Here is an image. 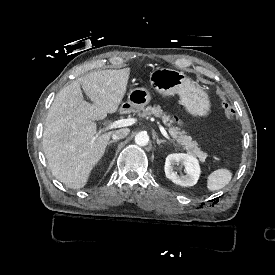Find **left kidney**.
<instances>
[{"label": "left kidney", "mask_w": 275, "mask_h": 275, "mask_svg": "<svg viewBox=\"0 0 275 275\" xmlns=\"http://www.w3.org/2000/svg\"><path fill=\"white\" fill-rule=\"evenodd\" d=\"M181 164L185 168L186 175L178 177L174 172V165ZM200 169L198 161L186 154H170L165 160L166 177L172 180L175 184L181 186H193L196 184L199 177Z\"/></svg>", "instance_id": "left-kidney-1"}]
</instances>
